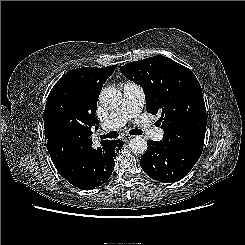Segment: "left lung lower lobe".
I'll use <instances>...</instances> for the list:
<instances>
[{
    "label": "left lung lower lobe",
    "instance_id": "1",
    "mask_svg": "<svg viewBox=\"0 0 245 245\" xmlns=\"http://www.w3.org/2000/svg\"><path fill=\"white\" fill-rule=\"evenodd\" d=\"M147 144L140 165L148 176L163 183H174L185 177L202 153L190 147H170L162 141L149 140Z\"/></svg>",
    "mask_w": 245,
    "mask_h": 245
}]
</instances>
